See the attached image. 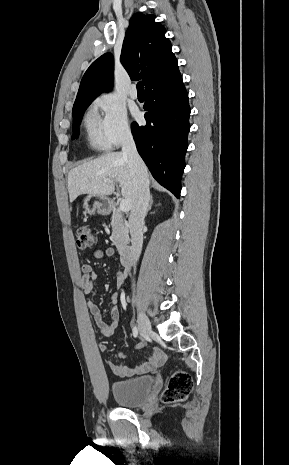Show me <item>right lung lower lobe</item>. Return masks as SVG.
<instances>
[{
    "label": "right lung lower lobe",
    "instance_id": "obj_1",
    "mask_svg": "<svg viewBox=\"0 0 289 465\" xmlns=\"http://www.w3.org/2000/svg\"><path fill=\"white\" fill-rule=\"evenodd\" d=\"M144 109L147 124L131 126L137 150L153 177L179 198L190 129L182 77L147 90Z\"/></svg>",
    "mask_w": 289,
    "mask_h": 465
}]
</instances>
